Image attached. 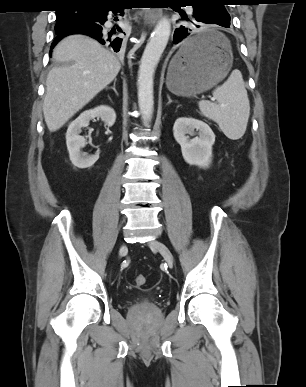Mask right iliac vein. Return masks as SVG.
Segmentation results:
<instances>
[{
    "label": "right iliac vein",
    "instance_id": "1",
    "mask_svg": "<svg viewBox=\"0 0 306 387\" xmlns=\"http://www.w3.org/2000/svg\"><path fill=\"white\" fill-rule=\"evenodd\" d=\"M125 250H126V246H125V245H122V246L120 247V251H119L120 255H122V254L125 252Z\"/></svg>",
    "mask_w": 306,
    "mask_h": 387
}]
</instances>
